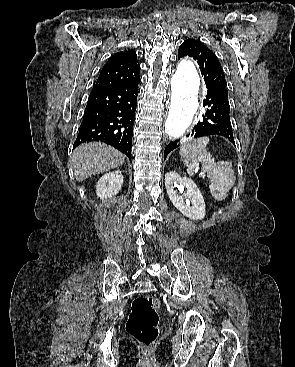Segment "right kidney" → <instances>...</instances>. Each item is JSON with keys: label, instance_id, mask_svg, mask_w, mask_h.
Masks as SVG:
<instances>
[{"label": "right kidney", "instance_id": "obj_1", "mask_svg": "<svg viewBox=\"0 0 295 367\" xmlns=\"http://www.w3.org/2000/svg\"><path fill=\"white\" fill-rule=\"evenodd\" d=\"M123 175L120 170L102 176L96 184V194L100 199L111 198L122 188Z\"/></svg>", "mask_w": 295, "mask_h": 367}]
</instances>
